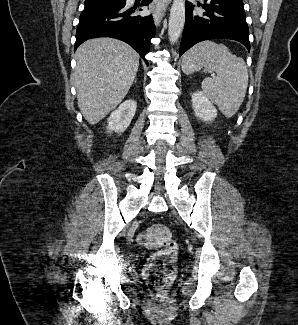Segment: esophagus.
I'll return each mask as SVG.
<instances>
[{"label":"esophagus","mask_w":298,"mask_h":325,"mask_svg":"<svg viewBox=\"0 0 298 325\" xmlns=\"http://www.w3.org/2000/svg\"><path fill=\"white\" fill-rule=\"evenodd\" d=\"M169 2H170V0H156L155 6L153 8H151L153 19L157 26L162 21Z\"/></svg>","instance_id":"34e87169"}]
</instances>
